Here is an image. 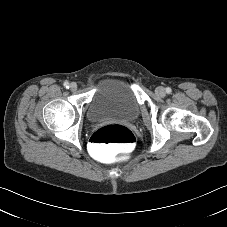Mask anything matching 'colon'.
<instances>
[{
	"mask_svg": "<svg viewBox=\"0 0 227 227\" xmlns=\"http://www.w3.org/2000/svg\"><path fill=\"white\" fill-rule=\"evenodd\" d=\"M135 136L123 125L112 124L97 130L90 138L91 152L102 161H110L135 146Z\"/></svg>",
	"mask_w": 227,
	"mask_h": 227,
	"instance_id": "1",
	"label": "colon"
}]
</instances>
